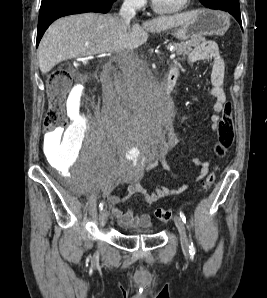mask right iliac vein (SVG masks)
Listing matches in <instances>:
<instances>
[{"instance_id":"obj_1","label":"right iliac vein","mask_w":267,"mask_h":298,"mask_svg":"<svg viewBox=\"0 0 267 298\" xmlns=\"http://www.w3.org/2000/svg\"><path fill=\"white\" fill-rule=\"evenodd\" d=\"M107 220H108V212L106 209H102L99 214L100 226L103 227L106 224Z\"/></svg>"}]
</instances>
